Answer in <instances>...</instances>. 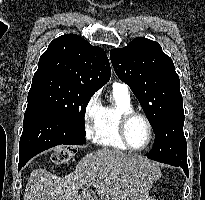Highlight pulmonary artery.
Returning <instances> with one entry per match:
<instances>
[{
	"mask_svg": "<svg viewBox=\"0 0 205 200\" xmlns=\"http://www.w3.org/2000/svg\"><path fill=\"white\" fill-rule=\"evenodd\" d=\"M113 89H116L118 91H121L127 95H129V87L125 84V83H122V82H115L113 84Z\"/></svg>",
	"mask_w": 205,
	"mask_h": 200,
	"instance_id": "e3ab8cb5",
	"label": "pulmonary artery"
}]
</instances>
